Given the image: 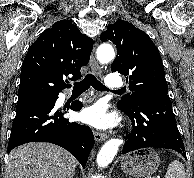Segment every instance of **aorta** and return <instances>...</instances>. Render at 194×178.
<instances>
[{
    "label": "aorta",
    "mask_w": 194,
    "mask_h": 178,
    "mask_svg": "<svg viewBox=\"0 0 194 178\" xmlns=\"http://www.w3.org/2000/svg\"><path fill=\"white\" fill-rule=\"evenodd\" d=\"M97 59L101 64H107L115 58V52L111 44H101L96 51ZM123 143L121 139L113 138L108 140L97 155L99 167H106L112 162L119 146Z\"/></svg>",
    "instance_id": "1"
}]
</instances>
